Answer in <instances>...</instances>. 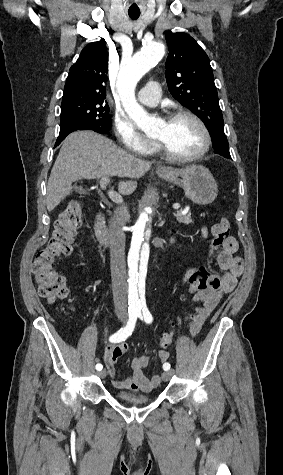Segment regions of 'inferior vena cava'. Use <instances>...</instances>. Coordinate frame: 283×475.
I'll return each instance as SVG.
<instances>
[{
  "mask_svg": "<svg viewBox=\"0 0 283 475\" xmlns=\"http://www.w3.org/2000/svg\"><path fill=\"white\" fill-rule=\"evenodd\" d=\"M128 214L126 206L117 208L109 222L108 243L110 247V269L113 301L116 313L127 311V275L125 261V238L122 232V218Z\"/></svg>",
  "mask_w": 283,
  "mask_h": 475,
  "instance_id": "602c4592",
  "label": "inferior vena cava"
}]
</instances>
